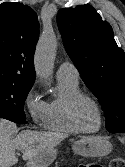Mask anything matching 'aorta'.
<instances>
[{
    "mask_svg": "<svg viewBox=\"0 0 125 167\" xmlns=\"http://www.w3.org/2000/svg\"><path fill=\"white\" fill-rule=\"evenodd\" d=\"M56 46V37L51 32L43 34L37 44L35 70L37 76L43 80H48L52 74Z\"/></svg>",
    "mask_w": 125,
    "mask_h": 167,
    "instance_id": "aorta-1",
    "label": "aorta"
}]
</instances>
